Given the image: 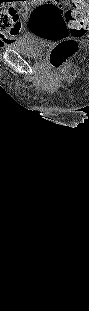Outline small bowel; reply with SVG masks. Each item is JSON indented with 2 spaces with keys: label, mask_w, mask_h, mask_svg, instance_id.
Masks as SVG:
<instances>
[{
  "label": "small bowel",
  "mask_w": 89,
  "mask_h": 311,
  "mask_svg": "<svg viewBox=\"0 0 89 311\" xmlns=\"http://www.w3.org/2000/svg\"><path fill=\"white\" fill-rule=\"evenodd\" d=\"M19 30H20V27H17L11 31L6 30L3 33V40H4L3 46H6L8 43L14 41L16 36L18 35Z\"/></svg>",
  "instance_id": "1"
}]
</instances>
